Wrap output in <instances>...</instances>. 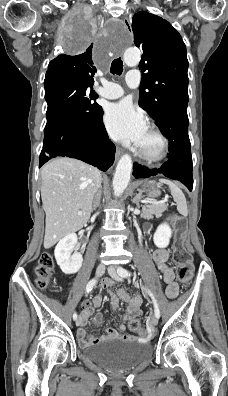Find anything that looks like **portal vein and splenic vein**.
Wrapping results in <instances>:
<instances>
[{"label": "portal vein and splenic vein", "mask_w": 228, "mask_h": 396, "mask_svg": "<svg viewBox=\"0 0 228 396\" xmlns=\"http://www.w3.org/2000/svg\"><path fill=\"white\" fill-rule=\"evenodd\" d=\"M143 203H154V204H160V203H163L164 201H160V202H151V201H142ZM78 215H82V212L81 211H79L78 212Z\"/></svg>", "instance_id": "1"}]
</instances>
